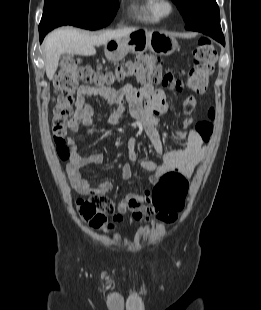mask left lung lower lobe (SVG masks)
I'll return each mask as SVG.
<instances>
[{
	"label": "left lung lower lobe",
	"mask_w": 261,
	"mask_h": 310,
	"mask_svg": "<svg viewBox=\"0 0 261 310\" xmlns=\"http://www.w3.org/2000/svg\"><path fill=\"white\" fill-rule=\"evenodd\" d=\"M186 29L202 32L225 45V40L220 24L215 21L205 20L204 22L193 23L186 27Z\"/></svg>",
	"instance_id": "1"
}]
</instances>
